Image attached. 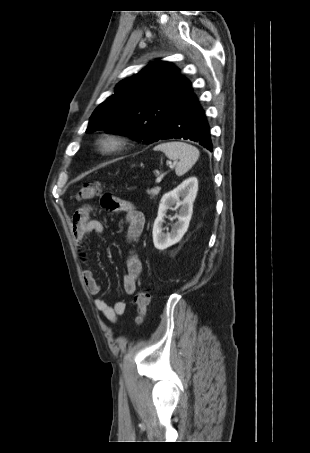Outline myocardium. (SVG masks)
Returning <instances> with one entry per match:
<instances>
[{
	"instance_id": "obj_1",
	"label": "myocardium",
	"mask_w": 310,
	"mask_h": 453,
	"mask_svg": "<svg viewBox=\"0 0 310 453\" xmlns=\"http://www.w3.org/2000/svg\"><path fill=\"white\" fill-rule=\"evenodd\" d=\"M127 145L125 137L118 133H105L96 141V147L100 154L109 155L123 150Z\"/></svg>"
}]
</instances>
